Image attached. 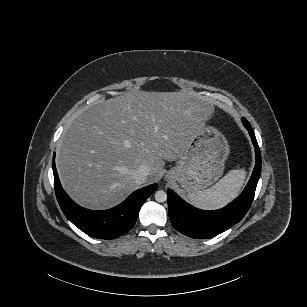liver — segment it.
Listing matches in <instances>:
<instances>
[{
    "instance_id": "6515ba94",
    "label": "liver",
    "mask_w": 307,
    "mask_h": 307,
    "mask_svg": "<svg viewBox=\"0 0 307 307\" xmlns=\"http://www.w3.org/2000/svg\"><path fill=\"white\" fill-rule=\"evenodd\" d=\"M214 111L207 97L186 92H126L81 113L57 153L63 187L79 205L107 209L137 189L133 173L150 167L147 182L163 175L165 160L187 151Z\"/></svg>"
}]
</instances>
